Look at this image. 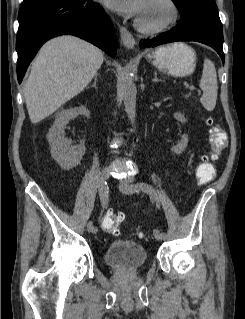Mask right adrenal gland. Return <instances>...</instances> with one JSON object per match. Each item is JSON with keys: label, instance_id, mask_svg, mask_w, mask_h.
Returning a JSON list of instances; mask_svg holds the SVG:
<instances>
[{"label": "right adrenal gland", "instance_id": "right-adrenal-gland-1", "mask_svg": "<svg viewBox=\"0 0 245 319\" xmlns=\"http://www.w3.org/2000/svg\"><path fill=\"white\" fill-rule=\"evenodd\" d=\"M98 76H99V74L96 73L95 78H94V83H93V85L91 86V87H94L95 89H97L96 83H97V80H98Z\"/></svg>", "mask_w": 245, "mask_h": 319}]
</instances>
